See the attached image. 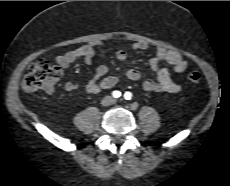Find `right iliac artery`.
Returning <instances> with one entry per match:
<instances>
[{"mask_svg": "<svg viewBox=\"0 0 230 186\" xmlns=\"http://www.w3.org/2000/svg\"><path fill=\"white\" fill-rule=\"evenodd\" d=\"M112 96H113L114 98H119V97L121 96V92L115 90V91L112 92Z\"/></svg>", "mask_w": 230, "mask_h": 186, "instance_id": "82829eb1", "label": "right iliac artery"}]
</instances>
